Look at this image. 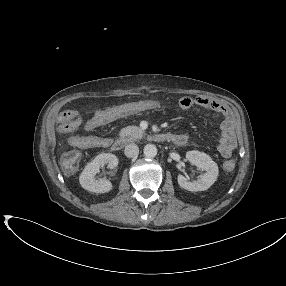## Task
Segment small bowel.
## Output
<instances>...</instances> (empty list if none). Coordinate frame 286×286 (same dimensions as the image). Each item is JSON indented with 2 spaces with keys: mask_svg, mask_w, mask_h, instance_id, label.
Masks as SVG:
<instances>
[{
  "mask_svg": "<svg viewBox=\"0 0 286 286\" xmlns=\"http://www.w3.org/2000/svg\"><path fill=\"white\" fill-rule=\"evenodd\" d=\"M178 105L183 110L196 106L220 114L223 117V122L221 125V140L218 145V150L225 158H228L232 155V152L236 147L235 123L227 106L203 96L194 98L183 97L179 100ZM160 106L161 104L159 102L153 100L114 106L106 109L113 110V113L110 117L103 116V113L106 110L94 112L91 111V117L85 122L84 128L87 131H91L118 118L140 111L155 109ZM73 113L76 115L74 116ZM58 123L60 132L65 136L68 143L74 147L87 149L93 147L105 148L110 145L111 138L109 137L71 134L81 124L78 113L74 111L67 110L60 112L58 115ZM180 136H183L187 141V137L185 135Z\"/></svg>",
  "mask_w": 286,
  "mask_h": 286,
  "instance_id": "small-bowel-1",
  "label": "small bowel"
}]
</instances>
